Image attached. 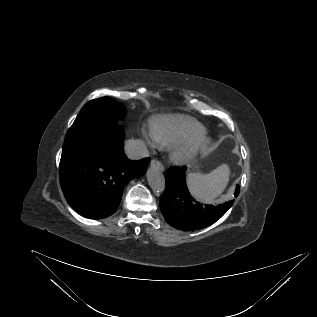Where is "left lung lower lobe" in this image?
Wrapping results in <instances>:
<instances>
[{"mask_svg":"<svg viewBox=\"0 0 317 317\" xmlns=\"http://www.w3.org/2000/svg\"><path fill=\"white\" fill-rule=\"evenodd\" d=\"M186 167L166 172V187L160 200L165 220L175 228L193 231L205 228L219 220L232 206L234 200L214 207L195 201L189 194L185 182ZM237 185L234 196L239 194Z\"/></svg>","mask_w":317,"mask_h":317,"instance_id":"obj_1","label":"left lung lower lobe"}]
</instances>
